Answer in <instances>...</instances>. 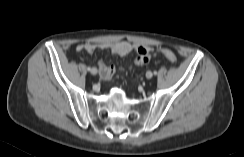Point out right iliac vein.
Listing matches in <instances>:
<instances>
[{
    "mask_svg": "<svg viewBox=\"0 0 244 157\" xmlns=\"http://www.w3.org/2000/svg\"><path fill=\"white\" fill-rule=\"evenodd\" d=\"M91 74H92V75H96V74H97V69H96V68H92V70H91Z\"/></svg>",
    "mask_w": 244,
    "mask_h": 157,
    "instance_id": "1",
    "label": "right iliac vein"
}]
</instances>
